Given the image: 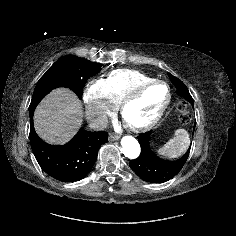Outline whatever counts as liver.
<instances>
[{"mask_svg":"<svg viewBox=\"0 0 236 236\" xmlns=\"http://www.w3.org/2000/svg\"><path fill=\"white\" fill-rule=\"evenodd\" d=\"M82 121V104L66 88L55 89L48 94L34 114L37 134L51 144L67 143L76 134Z\"/></svg>","mask_w":236,"mask_h":236,"instance_id":"6515ba94","label":"liver"}]
</instances>
